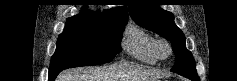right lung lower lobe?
I'll return each instance as SVG.
<instances>
[{"mask_svg": "<svg viewBox=\"0 0 237 81\" xmlns=\"http://www.w3.org/2000/svg\"><path fill=\"white\" fill-rule=\"evenodd\" d=\"M59 73H60V72L49 73V81L55 80V78L57 77V75H58Z\"/></svg>", "mask_w": 237, "mask_h": 81, "instance_id": "98d812e1", "label": "right lung lower lobe"}]
</instances>
